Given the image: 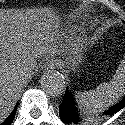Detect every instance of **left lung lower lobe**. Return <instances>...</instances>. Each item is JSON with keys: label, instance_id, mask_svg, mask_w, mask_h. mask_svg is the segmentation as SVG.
I'll list each match as a JSON object with an SVG mask.
<instances>
[{"label": "left lung lower lobe", "instance_id": "obj_1", "mask_svg": "<svg viewBox=\"0 0 125 125\" xmlns=\"http://www.w3.org/2000/svg\"><path fill=\"white\" fill-rule=\"evenodd\" d=\"M125 106V98H123L117 105L110 108L106 115H113L114 113L120 111ZM59 115L64 123L68 124H79L87 125V122H83L78 108L75 106V102L72 94L67 89L62 104L59 107Z\"/></svg>", "mask_w": 125, "mask_h": 125}]
</instances>
